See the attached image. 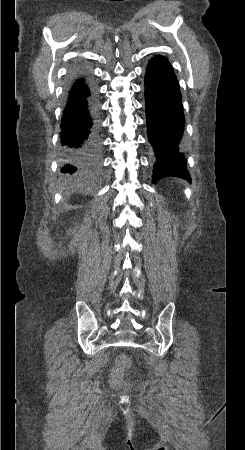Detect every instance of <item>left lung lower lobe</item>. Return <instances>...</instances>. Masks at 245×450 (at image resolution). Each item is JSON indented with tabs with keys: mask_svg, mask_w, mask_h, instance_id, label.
I'll return each mask as SVG.
<instances>
[{
	"mask_svg": "<svg viewBox=\"0 0 245 450\" xmlns=\"http://www.w3.org/2000/svg\"><path fill=\"white\" fill-rule=\"evenodd\" d=\"M144 80L148 137L156 157L153 183L167 176L191 181L181 148L185 116L173 67L165 57L155 56Z\"/></svg>",
	"mask_w": 245,
	"mask_h": 450,
	"instance_id": "left-lung-lower-lobe-1",
	"label": "left lung lower lobe"
}]
</instances>
